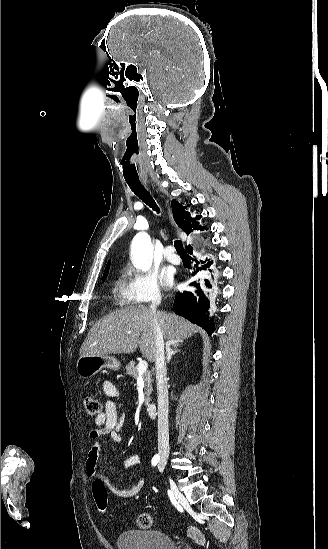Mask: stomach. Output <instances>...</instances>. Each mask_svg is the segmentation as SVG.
Instances as JSON below:
<instances>
[{"label":"stomach","mask_w":328,"mask_h":549,"mask_svg":"<svg viewBox=\"0 0 328 549\" xmlns=\"http://www.w3.org/2000/svg\"><path fill=\"white\" fill-rule=\"evenodd\" d=\"M120 361L111 357V355H95V357H79L76 363V373L82 379H90L102 369H112L118 371L120 369Z\"/></svg>","instance_id":"stomach-1"}]
</instances>
